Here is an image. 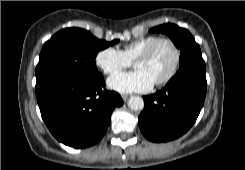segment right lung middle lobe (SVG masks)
Returning <instances> with one entry per match:
<instances>
[{
	"label": "right lung middle lobe",
	"instance_id": "right-lung-middle-lobe-1",
	"mask_svg": "<svg viewBox=\"0 0 245 170\" xmlns=\"http://www.w3.org/2000/svg\"><path fill=\"white\" fill-rule=\"evenodd\" d=\"M119 40L106 42L80 28H66L43 46L36 67V91L62 79L94 77L100 73L95 57Z\"/></svg>",
	"mask_w": 245,
	"mask_h": 170
}]
</instances>
